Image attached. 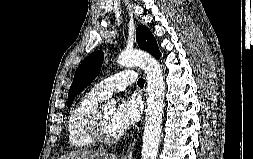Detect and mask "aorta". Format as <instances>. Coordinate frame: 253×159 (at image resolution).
Segmentation results:
<instances>
[{
  "label": "aorta",
  "mask_w": 253,
  "mask_h": 159,
  "mask_svg": "<svg viewBox=\"0 0 253 159\" xmlns=\"http://www.w3.org/2000/svg\"><path fill=\"white\" fill-rule=\"evenodd\" d=\"M121 66H139L146 73L147 105L141 159H156L162 131L165 84L162 69L149 54L138 50H125L118 59ZM114 100L106 106H113Z\"/></svg>",
  "instance_id": "1"
}]
</instances>
